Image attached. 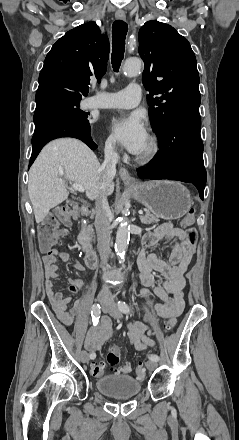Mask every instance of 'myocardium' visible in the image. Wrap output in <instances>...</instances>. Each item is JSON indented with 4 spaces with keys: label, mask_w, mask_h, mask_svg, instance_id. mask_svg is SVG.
Instances as JSON below:
<instances>
[{
    "label": "myocardium",
    "mask_w": 239,
    "mask_h": 440,
    "mask_svg": "<svg viewBox=\"0 0 239 440\" xmlns=\"http://www.w3.org/2000/svg\"><path fill=\"white\" fill-rule=\"evenodd\" d=\"M161 151V145L156 136L150 135L148 138V145L145 151L136 156V160L141 164H149L154 162Z\"/></svg>",
    "instance_id": "f54148a6"
}]
</instances>
